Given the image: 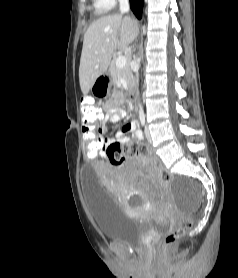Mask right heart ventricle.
Returning <instances> with one entry per match:
<instances>
[{"label": "right heart ventricle", "instance_id": "1", "mask_svg": "<svg viewBox=\"0 0 238 278\" xmlns=\"http://www.w3.org/2000/svg\"><path fill=\"white\" fill-rule=\"evenodd\" d=\"M114 5L109 0H93L94 11L97 15H103L110 11Z\"/></svg>", "mask_w": 238, "mask_h": 278}]
</instances>
